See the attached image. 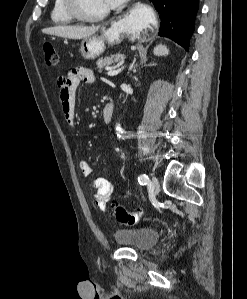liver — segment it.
Instances as JSON below:
<instances>
[{"instance_id":"6515ba94","label":"liver","mask_w":247,"mask_h":299,"mask_svg":"<svg viewBox=\"0 0 247 299\" xmlns=\"http://www.w3.org/2000/svg\"><path fill=\"white\" fill-rule=\"evenodd\" d=\"M100 26H55L42 29V32L49 35L69 39H86L91 37Z\"/></svg>"}]
</instances>
